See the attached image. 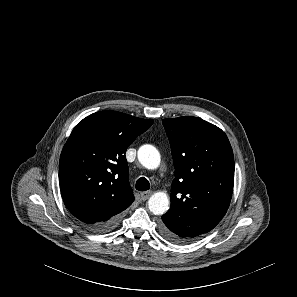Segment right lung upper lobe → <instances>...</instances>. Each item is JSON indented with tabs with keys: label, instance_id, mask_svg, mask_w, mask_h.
Returning <instances> with one entry per match:
<instances>
[{
	"label": "right lung upper lobe",
	"instance_id": "right-lung-upper-lobe-1",
	"mask_svg": "<svg viewBox=\"0 0 297 297\" xmlns=\"http://www.w3.org/2000/svg\"><path fill=\"white\" fill-rule=\"evenodd\" d=\"M153 124L116 111H100L73 129L59 161L67 209L86 227L121 214L134 201L126 150Z\"/></svg>",
	"mask_w": 297,
	"mask_h": 297
}]
</instances>
